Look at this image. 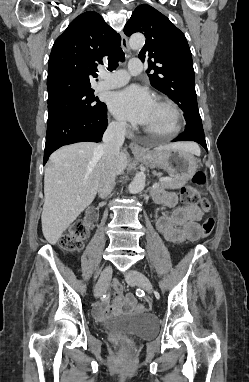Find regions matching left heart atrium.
Returning <instances> with one entry per match:
<instances>
[{"label": "left heart atrium", "mask_w": 249, "mask_h": 382, "mask_svg": "<svg viewBox=\"0 0 249 382\" xmlns=\"http://www.w3.org/2000/svg\"><path fill=\"white\" fill-rule=\"evenodd\" d=\"M155 104L151 93L136 85L114 92L109 99V108L117 118L140 125L149 120Z\"/></svg>", "instance_id": "1"}]
</instances>
